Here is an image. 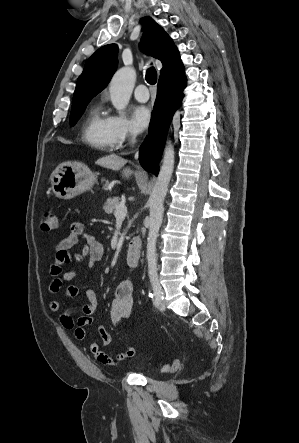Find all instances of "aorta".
I'll return each instance as SVG.
<instances>
[{"label":"aorta","mask_w":299,"mask_h":443,"mask_svg":"<svg viewBox=\"0 0 299 443\" xmlns=\"http://www.w3.org/2000/svg\"><path fill=\"white\" fill-rule=\"evenodd\" d=\"M136 79V72L130 67L119 69L110 82L109 92L112 105L121 113L129 103ZM174 146L171 141H167L163 164L161 166L156 183L148 200L150 221L147 237V263L149 274L157 272L156 242L159 229L163 220L164 199L174 169Z\"/></svg>","instance_id":"1"}]
</instances>
